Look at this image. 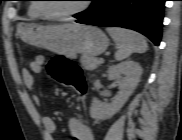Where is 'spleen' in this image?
Wrapping results in <instances>:
<instances>
[{
  "instance_id": "1",
  "label": "spleen",
  "mask_w": 182,
  "mask_h": 140,
  "mask_svg": "<svg viewBox=\"0 0 182 140\" xmlns=\"http://www.w3.org/2000/svg\"><path fill=\"white\" fill-rule=\"evenodd\" d=\"M106 30L118 46L115 53V59L118 61L128 58L134 52L144 53L148 49L145 38L135 31L118 27H110Z\"/></svg>"
}]
</instances>
